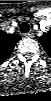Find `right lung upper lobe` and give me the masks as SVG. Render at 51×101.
Listing matches in <instances>:
<instances>
[{"label": "right lung upper lobe", "mask_w": 51, "mask_h": 101, "mask_svg": "<svg viewBox=\"0 0 51 101\" xmlns=\"http://www.w3.org/2000/svg\"><path fill=\"white\" fill-rule=\"evenodd\" d=\"M19 40H21V36L18 34L0 32V61H4L10 57L14 46Z\"/></svg>", "instance_id": "right-lung-upper-lobe-1"}]
</instances>
